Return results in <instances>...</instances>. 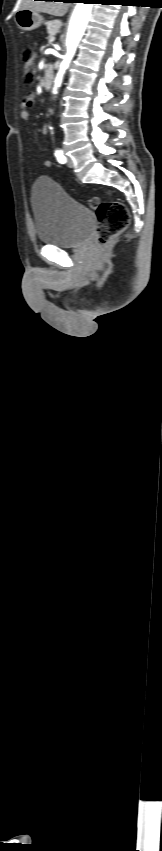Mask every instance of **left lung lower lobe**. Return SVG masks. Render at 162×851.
I'll list each match as a JSON object with an SVG mask.
<instances>
[{
  "instance_id": "1",
  "label": "left lung lower lobe",
  "mask_w": 162,
  "mask_h": 851,
  "mask_svg": "<svg viewBox=\"0 0 162 851\" xmlns=\"http://www.w3.org/2000/svg\"><path fill=\"white\" fill-rule=\"evenodd\" d=\"M87 1L93 2V0H87Z\"/></svg>"
}]
</instances>
